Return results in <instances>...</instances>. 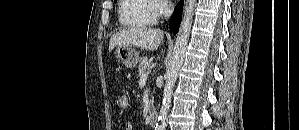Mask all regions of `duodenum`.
<instances>
[{"mask_svg": "<svg viewBox=\"0 0 299 130\" xmlns=\"http://www.w3.org/2000/svg\"><path fill=\"white\" fill-rule=\"evenodd\" d=\"M148 123L154 127L157 124V114L155 111H150L148 115Z\"/></svg>", "mask_w": 299, "mask_h": 130, "instance_id": "410a0bca", "label": "duodenum"}]
</instances>
